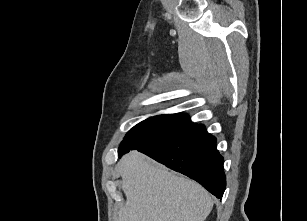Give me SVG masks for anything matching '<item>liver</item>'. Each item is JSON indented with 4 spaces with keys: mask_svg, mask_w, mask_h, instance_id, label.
<instances>
[{
    "mask_svg": "<svg viewBox=\"0 0 307 221\" xmlns=\"http://www.w3.org/2000/svg\"><path fill=\"white\" fill-rule=\"evenodd\" d=\"M125 205L119 221H204L213 199L198 183L133 151L119 162Z\"/></svg>",
    "mask_w": 307,
    "mask_h": 221,
    "instance_id": "6515ba94",
    "label": "liver"
}]
</instances>
